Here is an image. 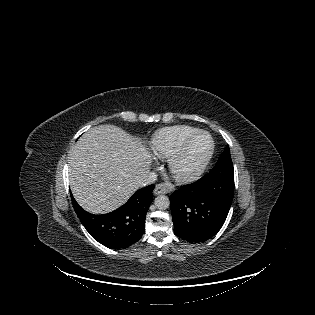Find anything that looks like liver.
Here are the masks:
<instances>
[{
  "mask_svg": "<svg viewBox=\"0 0 315 315\" xmlns=\"http://www.w3.org/2000/svg\"><path fill=\"white\" fill-rule=\"evenodd\" d=\"M69 182L81 207L94 214L111 212L141 187L151 165L142 142L114 125L88 130L69 154Z\"/></svg>",
  "mask_w": 315,
  "mask_h": 315,
  "instance_id": "6515ba94",
  "label": "liver"
}]
</instances>
